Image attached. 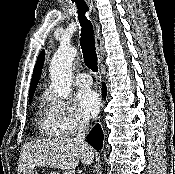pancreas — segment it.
<instances>
[{"label":"pancreas","instance_id":"1","mask_svg":"<svg viewBox=\"0 0 175 174\" xmlns=\"http://www.w3.org/2000/svg\"><path fill=\"white\" fill-rule=\"evenodd\" d=\"M51 174H55V173H51ZM65 174H73V171H68Z\"/></svg>","mask_w":175,"mask_h":174}]
</instances>
